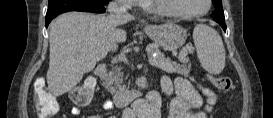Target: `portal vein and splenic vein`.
Listing matches in <instances>:
<instances>
[{
	"instance_id": "portal-vein-and-splenic-vein-1",
	"label": "portal vein and splenic vein",
	"mask_w": 273,
	"mask_h": 118,
	"mask_svg": "<svg viewBox=\"0 0 273 118\" xmlns=\"http://www.w3.org/2000/svg\"><path fill=\"white\" fill-rule=\"evenodd\" d=\"M153 60V57L150 55L149 56V61L151 62ZM152 64V63H151Z\"/></svg>"
}]
</instances>
